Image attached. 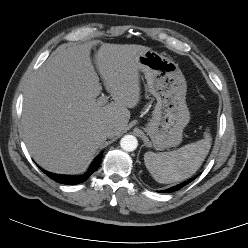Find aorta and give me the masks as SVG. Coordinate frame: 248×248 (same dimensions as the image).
<instances>
[{"mask_svg":"<svg viewBox=\"0 0 248 248\" xmlns=\"http://www.w3.org/2000/svg\"><path fill=\"white\" fill-rule=\"evenodd\" d=\"M120 146L124 151L131 152L137 148L138 141L133 135H125L120 140Z\"/></svg>","mask_w":248,"mask_h":248,"instance_id":"1","label":"aorta"}]
</instances>
